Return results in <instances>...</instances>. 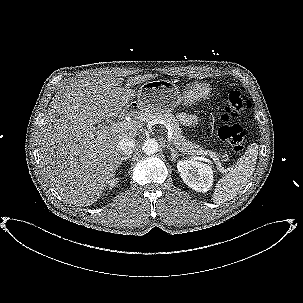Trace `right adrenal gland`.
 <instances>
[{"label": "right adrenal gland", "instance_id": "1", "mask_svg": "<svg viewBox=\"0 0 303 303\" xmlns=\"http://www.w3.org/2000/svg\"><path fill=\"white\" fill-rule=\"evenodd\" d=\"M130 157H131L130 154L121 157L120 162H119V166H121V164H122L123 161H127Z\"/></svg>", "mask_w": 303, "mask_h": 303}]
</instances>
